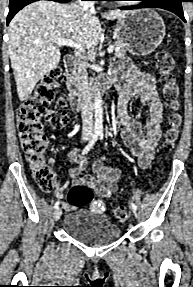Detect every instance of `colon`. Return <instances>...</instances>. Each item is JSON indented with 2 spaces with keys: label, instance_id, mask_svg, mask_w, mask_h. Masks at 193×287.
Returning a JSON list of instances; mask_svg holds the SVG:
<instances>
[{
  "label": "colon",
  "instance_id": "colon-1",
  "mask_svg": "<svg viewBox=\"0 0 193 287\" xmlns=\"http://www.w3.org/2000/svg\"><path fill=\"white\" fill-rule=\"evenodd\" d=\"M155 65L160 76L163 96L171 108L162 149L164 152H171L177 141L182 120L179 112V87L175 75V61L168 51L162 50L156 55ZM60 77L61 70L57 67L46 72L33 93L17 111L22 149L32 170L33 179L42 192L52 190L56 175L46 160L47 139L40 119L43 115H48L51 117L50 123L54 128H61L69 121L66 96L58 99L51 108L54 88ZM93 196V190L89 186L78 184L69 190L67 201L73 207H80L90 203ZM114 216L120 221H125L129 216V211L125 206H117L114 209Z\"/></svg>",
  "mask_w": 193,
  "mask_h": 287
}]
</instances>
